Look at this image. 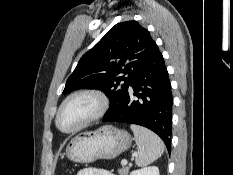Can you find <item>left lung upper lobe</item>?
<instances>
[{"instance_id": "obj_1", "label": "left lung upper lobe", "mask_w": 233, "mask_h": 175, "mask_svg": "<svg viewBox=\"0 0 233 175\" xmlns=\"http://www.w3.org/2000/svg\"><path fill=\"white\" fill-rule=\"evenodd\" d=\"M155 47L149 31L136 21L116 24L82 56L63 94L80 88L100 89L110 99L104 117L109 115L120 106L135 75Z\"/></svg>"}]
</instances>
